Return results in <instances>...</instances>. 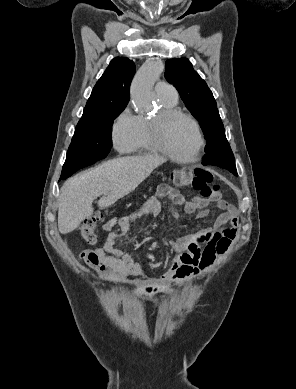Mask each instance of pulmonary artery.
Returning a JSON list of instances; mask_svg holds the SVG:
<instances>
[{"label":"pulmonary artery","mask_w":296,"mask_h":389,"mask_svg":"<svg viewBox=\"0 0 296 389\" xmlns=\"http://www.w3.org/2000/svg\"><path fill=\"white\" fill-rule=\"evenodd\" d=\"M155 92L159 97H165L174 100L178 98V93L174 86L165 81H159L155 85Z\"/></svg>","instance_id":"pulmonary-artery-1"}]
</instances>
